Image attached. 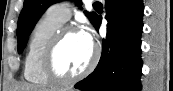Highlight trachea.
Instances as JSON below:
<instances>
[{"mask_svg":"<svg viewBox=\"0 0 173 91\" xmlns=\"http://www.w3.org/2000/svg\"><path fill=\"white\" fill-rule=\"evenodd\" d=\"M93 7H102V4L100 2H94Z\"/></svg>","mask_w":173,"mask_h":91,"instance_id":"1","label":"trachea"}]
</instances>
